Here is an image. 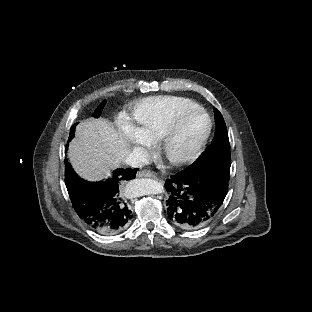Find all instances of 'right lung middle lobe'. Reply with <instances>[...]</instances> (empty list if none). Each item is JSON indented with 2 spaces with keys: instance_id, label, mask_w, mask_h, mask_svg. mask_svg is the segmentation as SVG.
I'll list each match as a JSON object with an SVG mask.
<instances>
[{
  "instance_id": "1",
  "label": "right lung middle lobe",
  "mask_w": 312,
  "mask_h": 312,
  "mask_svg": "<svg viewBox=\"0 0 312 312\" xmlns=\"http://www.w3.org/2000/svg\"><path fill=\"white\" fill-rule=\"evenodd\" d=\"M105 103H106L105 100L102 101V102L100 103V105L97 107V109L95 110V112H94V114H93L94 117L98 118V117L101 115L102 110H103V108H104V106H105ZM76 125H77V124H74V125L71 127V129H70V135H69L68 142H70V140L74 137L75 126H76ZM67 147H68V144H67Z\"/></svg>"
}]
</instances>
